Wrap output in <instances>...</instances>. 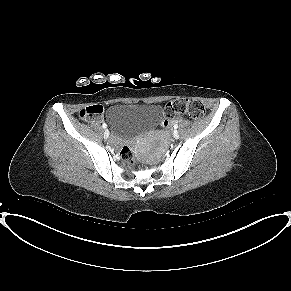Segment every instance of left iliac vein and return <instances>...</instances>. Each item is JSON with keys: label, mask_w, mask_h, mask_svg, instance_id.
I'll return each instance as SVG.
<instances>
[{"label": "left iliac vein", "mask_w": 291, "mask_h": 291, "mask_svg": "<svg viewBox=\"0 0 291 291\" xmlns=\"http://www.w3.org/2000/svg\"><path fill=\"white\" fill-rule=\"evenodd\" d=\"M173 136H174L175 139L179 138V133H178L177 130L174 131Z\"/></svg>", "instance_id": "1"}]
</instances>
